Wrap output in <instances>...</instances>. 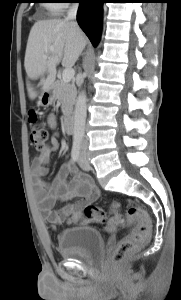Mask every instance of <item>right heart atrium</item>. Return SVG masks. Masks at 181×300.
<instances>
[{
	"label": "right heart atrium",
	"mask_w": 181,
	"mask_h": 300,
	"mask_svg": "<svg viewBox=\"0 0 181 300\" xmlns=\"http://www.w3.org/2000/svg\"><path fill=\"white\" fill-rule=\"evenodd\" d=\"M56 1L59 2V3H56V4H58L59 8L62 11L67 6L66 2H69L71 0H56Z\"/></svg>",
	"instance_id": "d8ad5b80"
}]
</instances>
